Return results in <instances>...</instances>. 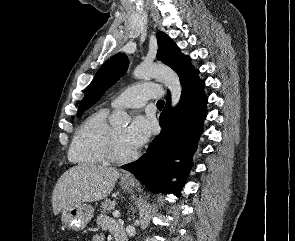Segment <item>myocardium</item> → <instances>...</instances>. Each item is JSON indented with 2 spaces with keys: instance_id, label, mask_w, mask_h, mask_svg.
Returning a JSON list of instances; mask_svg holds the SVG:
<instances>
[{
  "instance_id": "myocardium-1",
  "label": "myocardium",
  "mask_w": 295,
  "mask_h": 241,
  "mask_svg": "<svg viewBox=\"0 0 295 241\" xmlns=\"http://www.w3.org/2000/svg\"><path fill=\"white\" fill-rule=\"evenodd\" d=\"M105 153L106 157L109 161L114 162V163H125L134 160L138 156V152L134 151L130 154H121L118 152L117 149V142H116V137L113 131V128L110 129L107 141H106V146H105Z\"/></svg>"
}]
</instances>
